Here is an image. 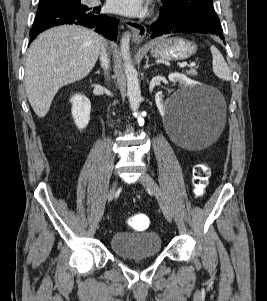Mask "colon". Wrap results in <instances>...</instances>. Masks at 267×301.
<instances>
[{
  "mask_svg": "<svg viewBox=\"0 0 267 301\" xmlns=\"http://www.w3.org/2000/svg\"><path fill=\"white\" fill-rule=\"evenodd\" d=\"M210 168L207 164H198L193 173L194 191L197 196H202L210 178ZM129 225L138 231L145 230L149 226V218L146 214L136 213L129 218Z\"/></svg>",
  "mask_w": 267,
  "mask_h": 301,
  "instance_id": "5ec220e1",
  "label": "colon"
}]
</instances>
